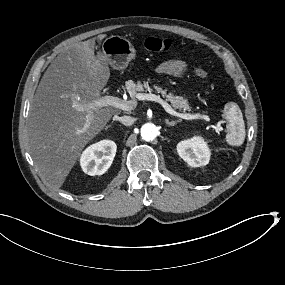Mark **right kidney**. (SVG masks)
<instances>
[{
    "label": "right kidney",
    "instance_id": "1",
    "mask_svg": "<svg viewBox=\"0 0 285 285\" xmlns=\"http://www.w3.org/2000/svg\"><path fill=\"white\" fill-rule=\"evenodd\" d=\"M117 145L112 140H101L87 147L81 157L80 165L88 175H102L111 166Z\"/></svg>",
    "mask_w": 285,
    "mask_h": 285
}]
</instances>
